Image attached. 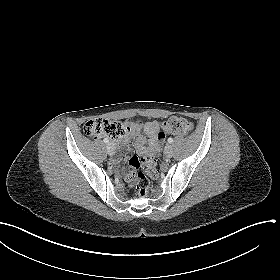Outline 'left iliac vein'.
Masks as SVG:
<instances>
[{
	"label": "left iliac vein",
	"instance_id": "left-iliac-vein-1",
	"mask_svg": "<svg viewBox=\"0 0 280 280\" xmlns=\"http://www.w3.org/2000/svg\"><path fill=\"white\" fill-rule=\"evenodd\" d=\"M164 155L166 158H171L173 155V147L170 144H167L164 149Z\"/></svg>",
	"mask_w": 280,
	"mask_h": 280
}]
</instances>
